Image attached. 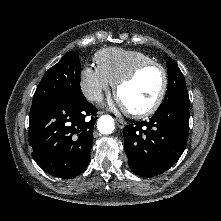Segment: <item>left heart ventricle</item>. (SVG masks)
<instances>
[{"instance_id":"b2bd125f","label":"left heart ventricle","mask_w":221,"mask_h":221,"mask_svg":"<svg viewBox=\"0 0 221 221\" xmlns=\"http://www.w3.org/2000/svg\"><path fill=\"white\" fill-rule=\"evenodd\" d=\"M162 81V73L158 68H148L132 82L123 86L118 93V98L127 110H143L155 101Z\"/></svg>"}]
</instances>
